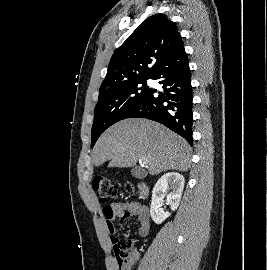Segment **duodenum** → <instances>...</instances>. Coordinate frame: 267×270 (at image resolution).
<instances>
[{"mask_svg": "<svg viewBox=\"0 0 267 270\" xmlns=\"http://www.w3.org/2000/svg\"><path fill=\"white\" fill-rule=\"evenodd\" d=\"M139 195L142 199H146L149 195V189L146 183L141 182L139 184Z\"/></svg>", "mask_w": 267, "mask_h": 270, "instance_id": "obj_1", "label": "duodenum"}]
</instances>
